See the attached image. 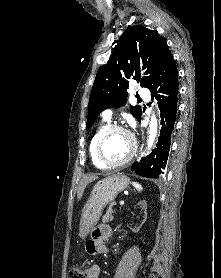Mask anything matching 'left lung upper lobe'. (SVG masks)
Here are the masks:
<instances>
[{
  "label": "left lung upper lobe",
  "instance_id": "1",
  "mask_svg": "<svg viewBox=\"0 0 221 278\" xmlns=\"http://www.w3.org/2000/svg\"><path fill=\"white\" fill-rule=\"evenodd\" d=\"M172 59L165 39L157 31L142 25L125 30L107 64L98 69L89 99L86 127L89 128L104 109L126 103L128 79L149 88ZM130 111L140 121V106L130 105Z\"/></svg>",
  "mask_w": 221,
  "mask_h": 278
}]
</instances>
